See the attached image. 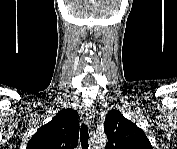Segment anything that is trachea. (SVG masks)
<instances>
[{
  "mask_svg": "<svg viewBox=\"0 0 177 149\" xmlns=\"http://www.w3.org/2000/svg\"><path fill=\"white\" fill-rule=\"evenodd\" d=\"M88 140H89L88 127L85 124H82L80 130V142L82 149H88Z\"/></svg>",
  "mask_w": 177,
  "mask_h": 149,
  "instance_id": "trachea-1",
  "label": "trachea"
}]
</instances>
